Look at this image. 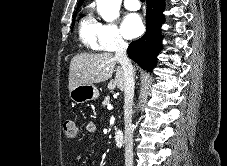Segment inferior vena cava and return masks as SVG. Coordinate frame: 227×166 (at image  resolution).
Segmentation results:
<instances>
[{
  "mask_svg": "<svg viewBox=\"0 0 227 166\" xmlns=\"http://www.w3.org/2000/svg\"><path fill=\"white\" fill-rule=\"evenodd\" d=\"M128 43L118 39L115 57L121 64L124 72V122H125V166H133V127L132 107L134 97V67L127 56Z\"/></svg>",
  "mask_w": 227,
  "mask_h": 166,
  "instance_id": "1",
  "label": "inferior vena cava"
}]
</instances>
